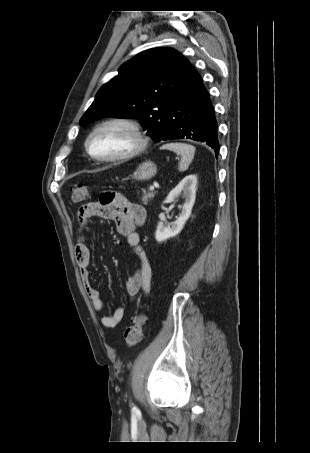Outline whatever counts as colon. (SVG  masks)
<instances>
[{"mask_svg": "<svg viewBox=\"0 0 310 453\" xmlns=\"http://www.w3.org/2000/svg\"><path fill=\"white\" fill-rule=\"evenodd\" d=\"M89 196V188L86 185H74L72 188V201L75 204L82 203ZM113 198V193L104 192L100 195L102 203H110ZM146 322V317L142 313H138L132 318V324L124 331V342L127 347L137 345L143 337V327Z\"/></svg>", "mask_w": 310, "mask_h": 453, "instance_id": "5ec220e1", "label": "colon"}]
</instances>
